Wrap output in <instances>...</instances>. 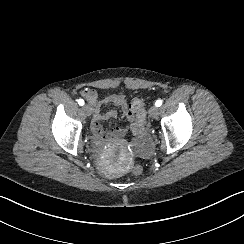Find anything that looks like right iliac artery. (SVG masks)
<instances>
[{
    "instance_id": "1",
    "label": "right iliac artery",
    "mask_w": 244,
    "mask_h": 244,
    "mask_svg": "<svg viewBox=\"0 0 244 244\" xmlns=\"http://www.w3.org/2000/svg\"><path fill=\"white\" fill-rule=\"evenodd\" d=\"M78 104H79L80 106H83V105H84V100H83V99H79V100H78Z\"/></svg>"
}]
</instances>
